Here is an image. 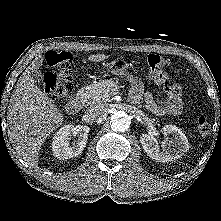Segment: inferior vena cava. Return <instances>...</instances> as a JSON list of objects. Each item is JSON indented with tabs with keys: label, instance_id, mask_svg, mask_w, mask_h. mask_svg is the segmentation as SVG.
<instances>
[{
	"label": "inferior vena cava",
	"instance_id": "602c4592",
	"mask_svg": "<svg viewBox=\"0 0 221 221\" xmlns=\"http://www.w3.org/2000/svg\"><path fill=\"white\" fill-rule=\"evenodd\" d=\"M106 112L107 106L105 104H95L87 108L84 117L87 121L98 122L104 117Z\"/></svg>",
	"mask_w": 221,
	"mask_h": 221
}]
</instances>
